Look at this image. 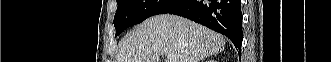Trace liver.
Masks as SVG:
<instances>
[{
	"instance_id": "1",
	"label": "liver",
	"mask_w": 331,
	"mask_h": 62,
	"mask_svg": "<svg viewBox=\"0 0 331 62\" xmlns=\"http://www.w3.org/2000/svg\"><path fill=\"white\" fill-rule=\"evenodd\" d=\"M224 37L180 16H153L131 30L122 40L115 62H161L173 54L176 62H199L225 48Z\"/></svg>"
}]
</instances>
